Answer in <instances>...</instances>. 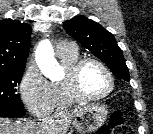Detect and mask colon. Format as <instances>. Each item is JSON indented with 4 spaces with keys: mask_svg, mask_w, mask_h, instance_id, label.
Masks as SVG:
<instances>
[{
    "mask_svg": "<svg viewBox=\"0 0 153 134\" xmlns=\"http://www.w3.org/2000/svg\"><path fill=\"white\" fill-rule=\"evenodd\" d=\"M97 134H132V130L125 123L123 112L117 110L111 115L107 124L97 131Z\"/></svg>",
    "mask_w": 153,
    "mask_h": 134,
    "instance_id": "5ec220e1",
    "label": "colon"
}]
</instances>
